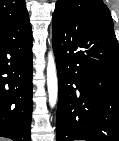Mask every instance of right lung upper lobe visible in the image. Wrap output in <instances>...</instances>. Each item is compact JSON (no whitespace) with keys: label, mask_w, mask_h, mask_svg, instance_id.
Segmentation results:
<instances>
[{"label":"right lung upper lobe","mask_w":119,"mask_h":141,"mask_svg":"<svg viewBox=\"0 0 119 141\" xmlns=\"http://www.w3.org/2000/svg\"><path fill=\"white\" fill-rule=\"evenodd\" d=\"M28 17L24 0H0V24Z\"/></svg>","instance_id":"right-lung-upper-lobe-1"}]
</instances>
